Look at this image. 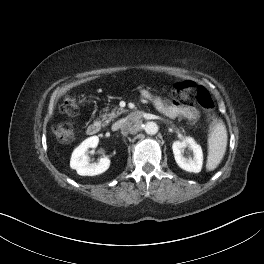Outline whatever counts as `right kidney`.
<instances>
[{"label": "right kidney", "mask_w": 264, "mask_h": 264, "mask_svg": "<svg viewBox=\"0 0 264 264\" xmlns=\"http://www.w3.org/2000/svg\"><path fill=\"white\" fill-rule=\"evenodd\" d=\"M99 143L97 136L84 140L72 153L70 167L81 176H95L105 172L110 166V159L101 158L98 163H89L86 152L89 148H96Z\"/></svg>", "instance_id": "right-kidney-1"}]
</instances>
